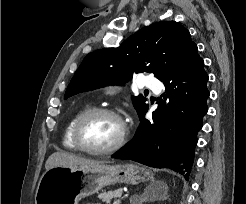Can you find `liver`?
Wrapping results in <instances>:
<instances>
[{"mask_svg":"<svg viewBox=\"0 0 246 204\" xmlns=\"http://www.w3.org/2000/svg\"><path fill=\"white\" fill-rule=\"evenodd\" d=\"M105 161H96L91 160L83 157H79L70 153L65 152H55L51 154L46 163L45 169L46 171L57 166H65V167H72L78 165H95V164H105Z\"/></svg>","mask_w":246,"mask_h":204,"instance_id":"obj_1","label":"liver"}]
</instances>
